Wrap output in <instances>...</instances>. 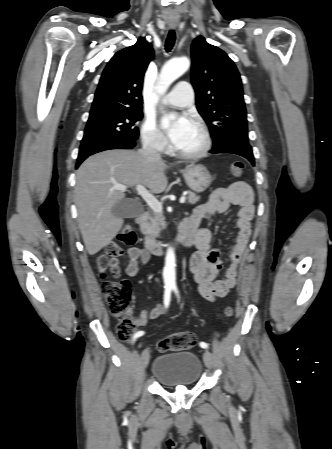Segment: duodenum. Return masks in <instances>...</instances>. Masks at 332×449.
Listing matches in <instances>:
<instances>
[{"label": "duodenum", "mask_w": 332, "mask_h": 449, "mask_svg": "<svg viewBox=\"0 0 332 449\" xmlns=\"http://www.w3.org/2000/svg\"><path fill=\"white\" fill-rule=\"evenodd\" d=\"M147 213L140 214L136 222L140 226H144L147 222ZM194 228L191 219L188 217L184 219L180 226L177 235V244L183 247H191L193 245ZM144 247L148 252L155 254H162L164 242L153 237H146L144 240Z\"/></svg>", "instance_id": "obj_1"}]
</instances>
